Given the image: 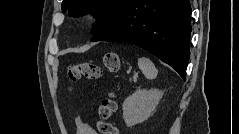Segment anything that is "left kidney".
Wrapping results in <instances>:
<instances>
[{
  "instance_id": "obj_1",
  "label": "left kidney",
  "mask_w": 239,
  "mask_h": 134,
  "mask_svg": "<svg viewBox=\"0 0 239 134\" xmlns=\"http://www.w3.org/2000/svg\"><path fill=\"white\" fill-rule=\"evenodd\" d=\"M163 92L158 89H139L123 102V119L128 127L147 120L154 112Z\"/></svg>"
}]
</instances>
